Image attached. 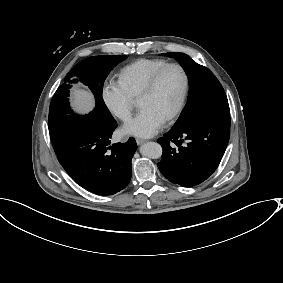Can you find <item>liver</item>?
Wrapping results in <instances>:
<instances>
[{"instance_id": "obj_1", "label": "liver", "mask_w": 283, "mask_h": 283, "mask_svg": "<svg viewBox=\"0 0 283 283\" xmlns=\"http://www.w3.org/2000/svg\"><path fill=\"white\" fill-rule=\"evenodd\" d=\"M72 98L74 106L81 111H87L93 105L92 96L87 90L74 89Z\"/></svg>"}]
</instances>
